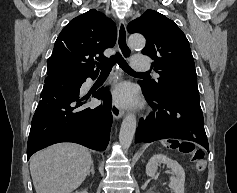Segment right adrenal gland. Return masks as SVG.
Wrapping results in <instances>:
<instances>
[{
  "mask_svg": "<svg viewBox=\"0 0 237 193\" xmlns=\"http://www.w3.org/2000/svg\"><path fill=\"white\" fill-rule=\"evenodd\" d=\"M90 173H91L92 175L95 174V171H94V164H93V162H92V164H91V169H90L88 175H90Z\"/></svg>",
  "mask_w": 237,
  "mask_h": 193,
  "instance_id": "2a0ac1e0",
  "label": "right adrenal gland"
}]
</instances>
